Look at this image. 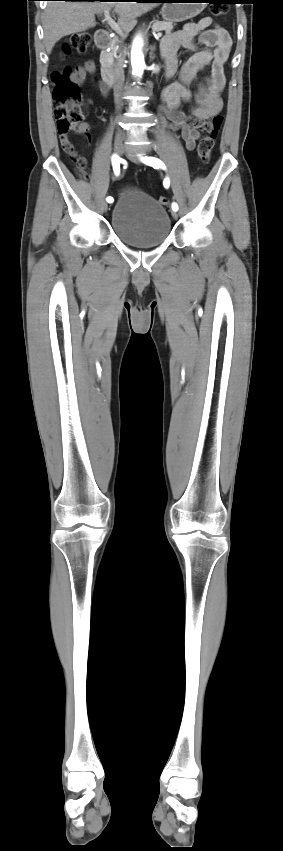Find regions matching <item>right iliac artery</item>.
<instances>
[{"label":"right iliac artery","mask_w":283,"mask_h":851,"mask_svg":"<svg viewBox=\"0 0 283 851\" xmlns=\"http://www.w3.org/2000/svg\"><path fill=\"white\" fill-rule=\"evenodd\" d=\"M120 162H121V159L117 155L112 156V165H113V170H114V173H115L116 176H118L119 173H120ZM106 200L109 203L113 202V198L111 196L107 197Z\"/></svg>","instance_id":"right-iliac-artery-1"}]
</instances>
